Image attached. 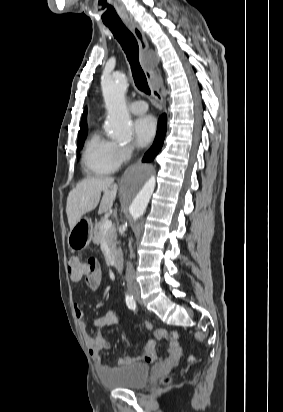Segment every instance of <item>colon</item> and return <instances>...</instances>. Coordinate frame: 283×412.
I'll return each instance as SVG.
<instances>
[{"label": "colon", "instance_id": "obj_1", "mask_svg": "<svg viewBox=\"0 0 283 412\" xmlns=\"http://www.w3.org/2000/svg\"><path fill=\"white\" fill-rule=\"evenodd\" d=\"M96 267L97 262L94 258H89L85 262L78 258H71L67 262L69 275L74 280H79L89 272H94ZM164 338L172 341L177 340V334L175 332H171L169 334H165Z\"/></svg>", "mask_w": 283, "mask_h": 412}]
</instances>
